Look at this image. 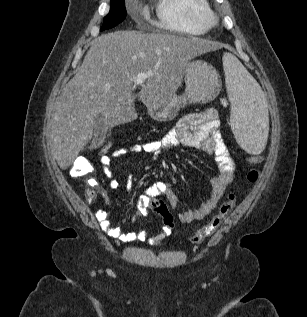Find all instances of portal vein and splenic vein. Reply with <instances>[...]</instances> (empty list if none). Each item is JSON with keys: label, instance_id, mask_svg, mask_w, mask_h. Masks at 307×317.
<instances>
[{"label": "portal vein and splenic vein", "instance_id": "1", "mask_svg": "<svg viewBox=\"0 0 307 317\" xmlns=\"http://www.w3.org/2000/svg\"><path fill=\"white\" fill-rule=\"evenodd\" d=\"M153 75L151 72L148 73H138V75L135 77L134 85H142L144 81L149 77Z\"/></svg>", "mask_w": 307, "mask_h": 317}]
</instances>
